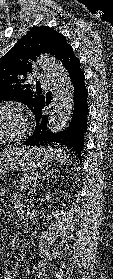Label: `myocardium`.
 Wrapping results in <instances>:
<instances>
[{"instance_id": "myocardium-1", "label": "myocardium", "mask_w": 113, "mask_h": 279, "mask_svg": "<svg viewBox=\"0 0 113 279\" xmlns=\"http://www.w3.org/2000/svg\"><path fill=\"white\" fill-rule=\"evenodd\" d=\"M3 109H11L16 111L20 117L21 127L18 132L0 137V143L12 142L22 139L29 129L28 113L24 106L14 101H4L0 103V111Z\"/></svg>"}]
</instances>
